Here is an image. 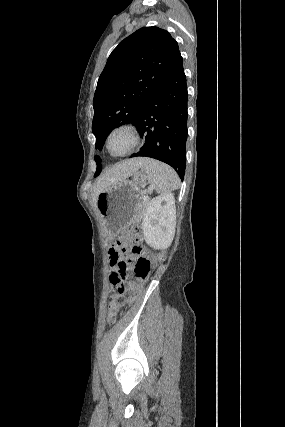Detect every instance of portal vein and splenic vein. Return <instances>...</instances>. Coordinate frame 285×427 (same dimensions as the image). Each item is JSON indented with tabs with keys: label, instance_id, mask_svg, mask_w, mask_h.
Here are the masks:
<instances>
[{
	"label": "portal vein and splenic vein",
	"instance_id": "1",
	"mask_svg": "<svg viewBox=\"0 0 285 427\" xmlns=\"http://www.w3.org/2000/svg\"><path fill=\"white\" fill-rule=\"evenodd\" d=\"M149 192H151V191H149ZM143 200H147L148 199V197H147V195H143Z\"/></svg>",
	"mask_w": 285,
	"mask_h": 427
}]
</instances>
